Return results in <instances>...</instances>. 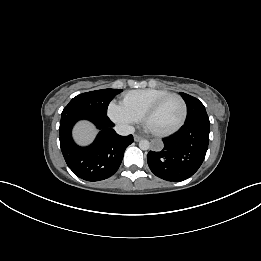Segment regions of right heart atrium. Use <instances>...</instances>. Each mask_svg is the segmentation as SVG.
<instances>
[{
    "label": "right heart atrium",
    "instance_id": "1",
    "mask_svg": "<svg viewBox=\"0 0 261 261\" xmlns=\"http://www.w3.org/2000/svg\"><path fill=\"white\" fill-rule=\"evenodd\" d=\"M108 115L112 121L125 127H130L138 121L131 112L121 103L117 102H111L109 104Z\"/></svg>",
    "mask_w": 261,
    "mask_h": 261
}]
</instances>
